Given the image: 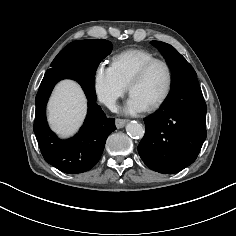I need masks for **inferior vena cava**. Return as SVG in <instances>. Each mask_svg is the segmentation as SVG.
Listing matches in <instances>:
<instances>
[{
	"instance_id": "1",
	"label": "inferior vena cava",
	"mask_w": 236,
	"mask_h": 236,
	"mask_svg": "<svg viewBox=\"0 0 236 236\" xmlns=\"http://www.w3.org/2000/svg\"><path fill=\"white\" fill-rule=\"evenodd\" d=\"M106 106L109 108V110L113 113L118 112V106L115 101L111 100L106 103Z\"/></svg>"
}]
</instances>
